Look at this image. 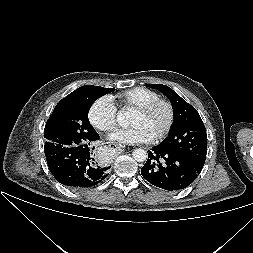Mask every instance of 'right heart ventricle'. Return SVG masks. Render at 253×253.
<instances>
[{"instance_id": "right-heart-ventricle-1", "label": "right heart ventricle", "mask_w": 253, "mask_h": 253, "mask_svg": "<svg viewBox=\"0 0 253 253\" xmlns=\"http://www.w3.org/2000/svg\"><path fill=\"white\" fill-rule=\"evenodd\" d=\"M124 107L135 109L150 101L159 99V94L146 87H135L124 91L120 95Z\"/></svg>"}]
</instances>
